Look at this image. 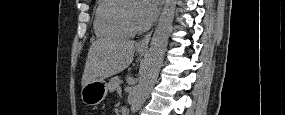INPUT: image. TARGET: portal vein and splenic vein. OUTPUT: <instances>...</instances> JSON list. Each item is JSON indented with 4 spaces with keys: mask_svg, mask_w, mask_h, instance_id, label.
I'll list each match as a JSON object with an SVG mask.
<instances>
[{
    "mask_svg": "<svg viewBox=\"0 0 285 115\" xmlns=\"http://www.w3.org/2000/svg\"><path fill=\"white\" fill-rule=\"evenodd\" d=\"M117 91H118V92H121V87H120V86L118 87V90H117Z\"/></svg>",
    "mask_w": 285,
    "mask_h": 115,
    "instance_id": "18ae733b",
    "label": "portal vein and splenic vein"
}]
</instances>
